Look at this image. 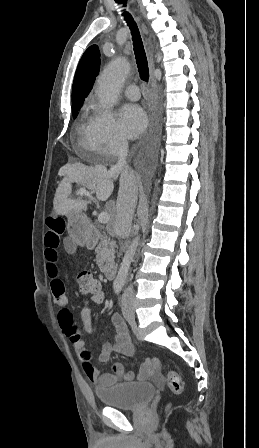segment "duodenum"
<instances>
[{"label": "duodenum", "mask_w": 259, "mask_h": 448, "mask_svg": "<svg viewBox=\"0 0 259 448\" xmlns=\"http://www.w3.org/2000/svg\"><path fill=\"white\" fill-rule=\"evenodd\" d=\"M99 236V231L95 227H91L88 230V238H87V246L93 247L96 243V240ZM118 266L116 263H107L104 268L103 272L107 279L114 280L117 275Z\"/></svg>", "instance_id": "duodenum-1"}]
</instances>
